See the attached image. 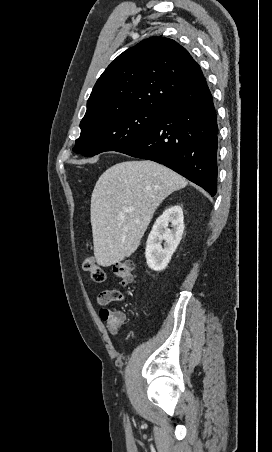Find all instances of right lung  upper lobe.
Segmentation results:
<instances>
[{"label":"right lung upper lobe","instance_id":"1","mask_svg":"<svg viewBox=\"0 0 272 452\" xmlns=\"http://www.w3.org/2000/svg\"><path fill=\"white\" fill-rule=\"evenodd\" d=\"M205 84L200 66L185 48L169 38L151 37L106 68L82 121L132 108L165 110Z\"/></svg>","mask_w":272,"mask_h":452}]
</instances>
